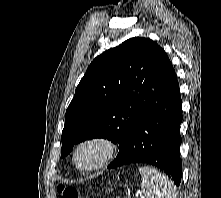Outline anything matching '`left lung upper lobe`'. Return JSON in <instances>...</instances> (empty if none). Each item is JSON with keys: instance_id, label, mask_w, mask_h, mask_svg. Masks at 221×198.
<instances>
[{"instance_id": "5c2ea615", "label": "left lung upper lobe", "mask_w": 221, "mask_h": 198, "mask_svg": "<svg viewBox=\"0 0 221 198\" xmlns=\"http://www.w3.org/2000/svg\"><path fill=\"white\" fill-rule=\"evenodd\" d=\"M173 70L150 39L130 38L89 65L65 114L61 158L74 144L105 138L120 150L164 89Z\"/></svg>"}]
</instances>
